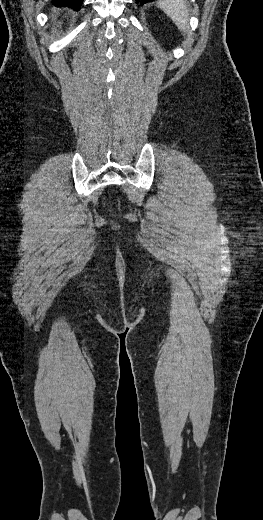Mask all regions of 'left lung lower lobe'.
<instances>
[{
    "mask_svg": "<svg viewBox=\"0 0 263 520\" xmlns=\"http://www.w3.org/2000/svg\"><path fill=\"white\" fill-rule=\"evenodd\" d=\"M149 1H154V0H136V3L140 2V4L143 5Z\"/></svg>",
    "mask_w": 263,
    "mask_h": 520,
    "instance_id": "1",
    "label": "left lung lower lobe"
}]
</instances>
